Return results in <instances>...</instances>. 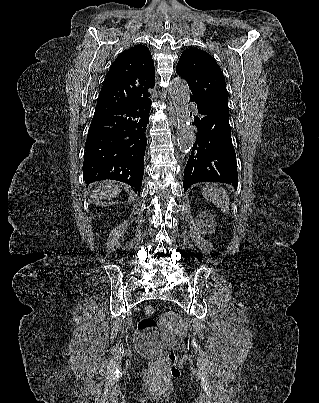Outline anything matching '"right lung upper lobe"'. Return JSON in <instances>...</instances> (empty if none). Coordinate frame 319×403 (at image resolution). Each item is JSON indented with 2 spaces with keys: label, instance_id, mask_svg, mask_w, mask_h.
<instances>
[{
  "label": "right lung upper lobe",
  "instance_id": "cb5924a9",
  "mask_svg": "<svg viewBox=\"0 0 319 403\" xmlns=\"http://www.w3.org/2000/svg\"><path fill=\"white\" fill-rule=\"evenodd\" d=\"M155 86L154 63L149 49L135 45L111 65L100 91L95 113L122 109L149 99Z\"/></svg>",
  "mask_w": 319,
  "mask_h": 403
}]
</instances>
